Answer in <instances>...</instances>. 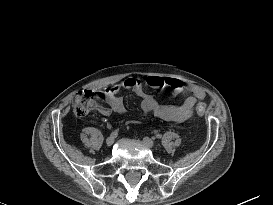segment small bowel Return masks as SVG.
Returning <instances> with one entry per match:
<instances>
[{
  "label": "small bowel",
  "mask_w": 273,
  "mask_h": 205,
  "mask_svg": "<svg viewBox=\"0 0 273 205\" xmlns=\"http://www.w3.org/2000/svg\"><path fill=\"white\" fill-rule=\"evenodd\" d=\"M163 86L171 88L173 96L182 93L188 96L181 105L175 106L161 104L146 92V87L160 88ZM127 89L133 90L140 97V106L144 113L177 123L189 119L194 113L196 104L205 98V91L200 86L182 80L149 77L143 82L138 77H130L105 91L104 97L108 107L101 106L98 108V112L106 117L124 113L125 106L122 98L118 95L121 91Z\"/></svg>",
  "instance_id": "c3829d8e"
}]
</instances>
